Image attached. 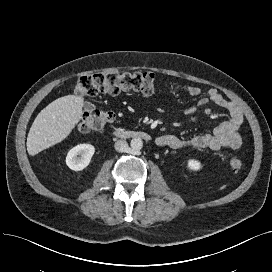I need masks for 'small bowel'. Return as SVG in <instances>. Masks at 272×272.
I'll return each mask as SVG.
<instances>
[{"instance_id":"c3829d8e","label":"small bowel","mask_w":272,"mask_h":272,"mask_svg":"<svg viewBox=\"0 0 272 272\" xmlns=\"http://www.w3.org/2000/svg\"><path fill=\"white\" fill-rule=\"evenodd\" d=\"M186 92L198 98L196 104L188 106L184 114L194 117L198 108L212 103L229 114V119L217 125L212 133L198 134L190 139H182L172 134H164L157 138V144L169 149H182L186 147L219 150L228 148L237 150L242 145L240 129L244 123V115L241 108L233 101L226 99L217 89L211 88L205 96L202 90L193 85L185 87Z\"/></svg>"}]
</instances>
